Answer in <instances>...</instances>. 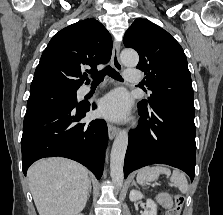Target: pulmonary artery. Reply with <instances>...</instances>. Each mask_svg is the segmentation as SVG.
I'll list each match as a JSON object with an SVG mask.
<instances>
[{"mask_svg": "<svg viewBox=\"0 0 223 215\" xmlns=\"http://www.w3.org/2000/svg\"><path fill=\"white\" fill-rule=\"evenodd\" d=\"M122 73L125 74V78L128 83H135L139 81V78H143V73H141V69H123ZM89 88H87V91Z\"/></svg>", "mask_w": 223, "mask_h": 215, "instance_id": "e3ab8cb5", "label": "pulmonary artery"}]
</instances>
